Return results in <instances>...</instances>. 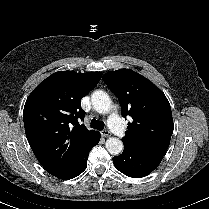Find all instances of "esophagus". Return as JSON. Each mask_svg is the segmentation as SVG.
<instances>
[{"instance_id": "obj_1", "label": "esophagus", "mask_w": 209, "mask_h": 209, "mask_svg": "<svg viewBox=\"0 0 209 209\" xmlns=\"http://www.w3.org/2000/svg\"><path fill=\"white\" fill-rule=\"evenodd\" d=\"M101 135L103 136V137H109L111 134H110V132L108 131V130H102L101 131Z\"/></svg>"}]
</instances>
